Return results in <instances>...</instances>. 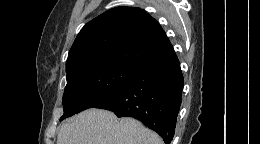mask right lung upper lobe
<instances>
[{
    "label": "right lung upper lobe",
    "mask_w": 260,
    "mask_h": 144,
    "mask_svg": "<svg viewBox=\"0 0 260 144\" xmlns=\"http://www.w3.org/2000/svg\"><path fill=\"white\" fill-rule=\"evenodd\" d=\"M172 52L165 32L148 13L116 7L81 29L69 51L66 72L104 64L135 70Z\"/></svg>",
    "instance_id": "right-lung-upper-lobe-1"
}]
</instances>
